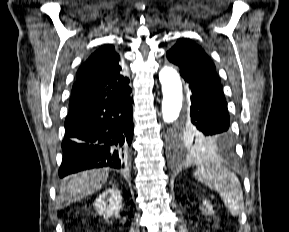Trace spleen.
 Wrapping results in <instances>:
<instances>
[{"mask_svg":"<svg viewBox=\"0 0 289 232\" xmlns=\"http://www.w3.org/2000/svg\"><path fill=\"white\" fill-rule=\"evenodd\" d=\"M195 178L219 193L225 206L233 216L241 214L244 199L240 181L235 173L221 163H199L194 173Z\"/></svg>","mask_w":289,"mask_h":232,"instance_id":"spleen-1","label":"spleen"}]
</instances>
